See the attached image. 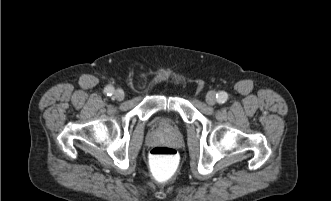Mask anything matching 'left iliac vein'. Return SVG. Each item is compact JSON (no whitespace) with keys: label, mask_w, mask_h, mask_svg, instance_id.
I'll return each mask as SVG.
<instances>
[{"label":"left iliac vein","mask_w":331,"mask_h":201,"mask_svg":"<svg viewBox=\"0 0 331 201\" xmlns=\"http://www.w3.org/2000/svg\"><path fill=\"white\" fill-rule=\"evenodd\" d=\"M217 101L216 93L214 91H209L206 95V102L209 105H214Z\"/></svg>","instance_id":"obj_1"}]
</instances>
